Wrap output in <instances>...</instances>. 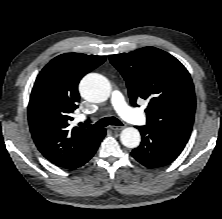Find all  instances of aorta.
<instances>
[{
	"label": "aorta",
	"mask_w": 222,
	"mask_h": 219,
	"mask_svg": "<svg viewBox=\"0 0 222 219\" xmlns=\"http://www.w3.org/2000/svg\"><path fill=\"white\" fill-rule=\"evenodd\" d=\"M79 90L81 96L94 103L104 102L111 92V85L107 78L97 73L87 74L80 82ZM122 144L128 148L139 146L141 136L136 128L128 127L120 134Z\"/></svg>",
	"instance_id": "aorta-1"
}]
</instances>
